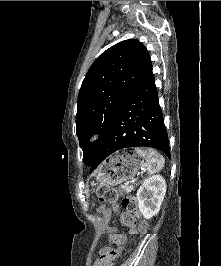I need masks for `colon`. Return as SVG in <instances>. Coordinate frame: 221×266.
Returning a JSON list of instances; mask_svg holds the SVG:
<instances>
[{
    "instance_id": "obj_1",
    "label": "colon",
    "mask_w": 221,
    "mask_h": 266,
    "mask_svg": "<svg viewBox=\"0 0 221 266\" xmlns=\"http://www.w3.org/2000/svg\"><path fill=\"white\" fill-rule=\"evenodd\" d=\"M100 202L107 205H115L118 200V192L115 188L102 185L97 191ZM121 222L130 228L133 232H145L147 229V222L143 220L137 210V204L133 197H123L121 200ZM111 241L118 243L122 241L121 234H114L110 237ZM118 249L108 247V250L101 254L97 260V266H111L113 261L118 257Z\"/></svg>"
}]
</instances>
